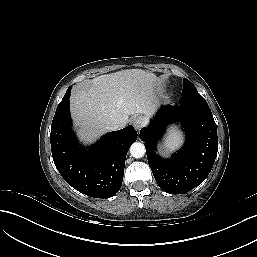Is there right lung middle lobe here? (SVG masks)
<instances>
[{
	"instance_id": "right-lung-middle-lobe-1",
	"label": "right lung middle lobe",
	"mask_w": 257,
	"mask_h": 257,
	"mask_svg": "<svg viewBox=\"0 0 257 257\" xmlns=\"http://www.w3.org/2000/svg\"><path fill=\"white\" fill-rule=\"evenodd\" d=\"M65 97H66V94L64 95V97H63L62 101L65 99ZM62 101H61V102H62Z\"/></svg>"
}]
</instances>
